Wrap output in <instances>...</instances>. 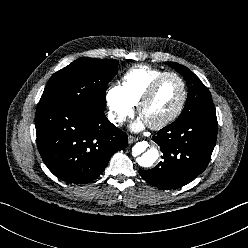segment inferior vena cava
Masks as SVG:
<instances>
[{"label":"inferior vena cava","mask_w":248,"mask_h":248,"mask_svg":"<svg viewBox=\"0 0 248 248\" xmlns=\"http://www.w3.org/2000/svg\"><path fill=\"white\" fill-rule=\"evenodd\" d=\"M108 119L113 124H122L125 121V118L123 116H116L113 114H110L108 116Z\"/></svg>","instance_id":"602c4592"}]
</instances>
